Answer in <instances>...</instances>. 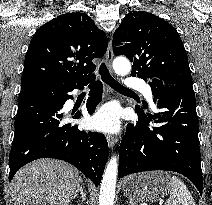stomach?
<instances>
[{"label":"stomach","mask_w":212,"mask_h":205,"mask_svg":"<svg viewBox=\"0 0 212 205\" xmlns=\"http://www.w3.org/2000/svg\"><path fill=\"white\" fill-rule=\"evenodd\" d=\"M170 186L169 174L162 171L134 174L122 182V190L128 199L139 203L162 200Z\"/></svg>","instance_id":"obj_1"}]
</instances>
